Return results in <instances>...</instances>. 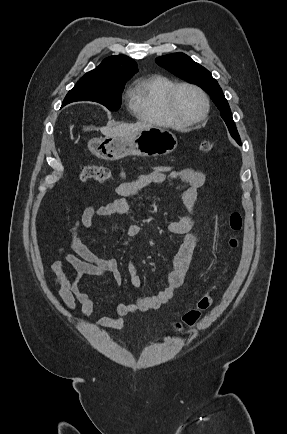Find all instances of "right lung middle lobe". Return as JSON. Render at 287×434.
<instances>
[{
	"instance_id": "1",
	"label": "right lung middle lobe",
	"mask_w": 287,
	"mask_h": 434,
	"mask_svg": "<svg viewBox=\"0 0 287 434\" xmlns=\"http://www.w3.org/2000/svg\"><path fill=\"white\" fill-rule=\"evenodd\" d=\"M126 81L95 80L81 78L66 95L62 106L74 101H95L110 111H117L121 106V93Z\"/></svg>"
}]
</instances>
